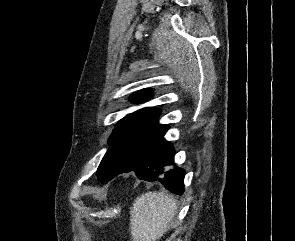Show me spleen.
Returning a JSON list of instances; mask_svg holds the SVG:
<instances>
[{
  "label": "spleen",
  "mask_w": 295,
  "mask_h": 241,
  "mask_svg": "<svg viewBox=\"0 0 295 241\" xmlns=\"http://www.w3.org/2000/svg\"><path fill=\"white\" fill-rule=\"evenodd\" d=\"M177 210V202L164 192H147L138 197L130 211L133 241H156L166 232Z\"/></svg>",
  "instance_id": "1"
}]
</instances>
